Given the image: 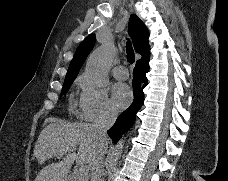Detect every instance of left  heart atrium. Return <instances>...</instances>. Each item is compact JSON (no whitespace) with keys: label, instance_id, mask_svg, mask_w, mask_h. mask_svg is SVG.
<instances>
[{"label":"left heart atrium","instance_id":"39dd6f15","mask_svg":"<svg viewBox=\"0 0 228 181\" xmlns=\"http://www.w3.org/2000/svg\"><path fill=\"white\" fill-rule=\"evenodd\" d=\"M131 90L127 85L117 83L113 86L114 99L118 104L127 102L131 97Z\"/></svg>","mask_w":228,"mask_h":181}]
</instances>
